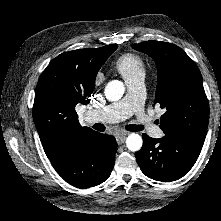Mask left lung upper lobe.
<instances>
[{
    "label": "left lung upper lobe",
    "mask_w": 221,
    "mask_h": 221,
    "mask_svg": "<svg viewBox=\"0 0 221 221\" xmlns=\"http://www.w3.org/2000/svg\"><path fill=\"white\" fill-rule=\"evenodd\" d=\"M153 58L158 70L155 103L166 112L160 117L164 134L203 146L209 121V104L201 73L178 46L161 41L133 44Z\"/></svg>",
    "instance_id": "5c2ea615"
}]
</instances>
